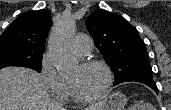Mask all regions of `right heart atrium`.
Returning a JSON list of instances; mask_svg holds the SVG:
<instances>
[{
  "mask_svg": "<svg viewBox=\"0 0 171 110\" xmlns=\"http://www.w3.org/2000/svg\"><path fill=\"white\" fill-rule=\"evenodd\" d=\"M40 77L52 96L63 99L67 91V85L51 62L48 53H45L41 58Z\"/></svg>",
  "mask_w": 171,
  "mask_h": 110,
  "instance_id": "1",
  "label": "right heart atrium"
}]
</instances>
